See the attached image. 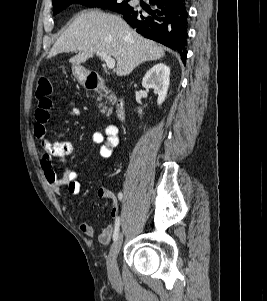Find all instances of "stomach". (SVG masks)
I'll return each mask as SVG.
<instances>
[{"instance_id":"0dacf381","label":"stomach","mask_w":267,"mask_h":301,"mask_svg":"<svg viewBox=\"0 0 267 301\" xmlns=\"http://www.w3.org/2000/svg\"><path fill=\"white\" fill-rule=\"evenodd\" d=\"M72 73L80 84H85L87 80V71L84 68L74 65L72 67Z\"/></svg>"}]
</instances>
